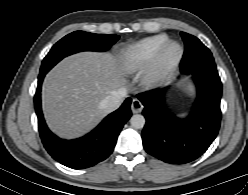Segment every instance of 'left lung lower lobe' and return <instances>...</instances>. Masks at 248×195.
Wrapping results in <instances>:
<instances>
[{"mask_svg":"<svg viewBox=\"0 0 248 195\" xmlns=\"http://www.w3.org/2000/svg\"><path fill=\"white\" fill-rule=\"evenodd\" d=\"M197 98L188 117L180 119L164 105L166 88L138 95L145 106L142 131L144 148L150 155L171 164H184L200 157L216 138L220 122L222 84L217 71L193 74Z\"/></svg>","mask_w":248,"mask_h":195,"instance_id":"left-lung-lower-lobe-1","label":"left lung lower lobe"}]
</instances>
